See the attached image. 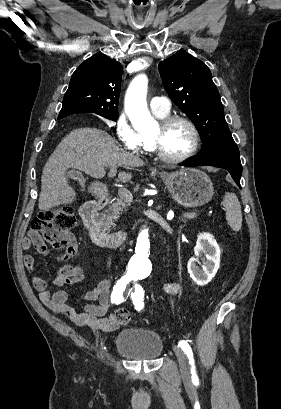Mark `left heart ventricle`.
Instances as JSON below:
<instances>
[{
    "label": "left heart ventricle",
    "mask_w": 281,
    "mask_h": 409,
    "mask_svg": "<svg viewBox=\"0 0 281 409\" xmlns=\"http://www.w3.org/2000/svg\"><path fill=\"white\" fill-rule=\"evenodd\" d=\"M157 125L148 133H155ZM192 144V136L188 127L182 122H174L160 134V146L170 156L185 154Z\"/></svg>",
    "instance_id": "b2bd125f"
}]
</instances>
